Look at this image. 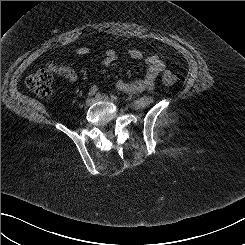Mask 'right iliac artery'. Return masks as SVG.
<instances>
[{
	"mask_svg": "<svg viewBox=\"0 0 245 245\" xmlns=\"http://www.w3.org/2000/svg\"><path fill=\"white\" fill-rule=\"evenodd\" d=\"M99 96H101V94H100V93H97V94L95 95V97H99Z\"/></svg>",
	"mask_w": 245,
	"mask_h": 245,
	"instance_id": "right-iliac-artery-1",
	"label": "right iliac artery"
}]
</instances>
